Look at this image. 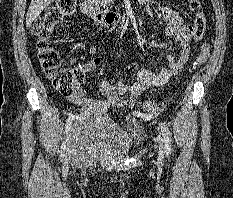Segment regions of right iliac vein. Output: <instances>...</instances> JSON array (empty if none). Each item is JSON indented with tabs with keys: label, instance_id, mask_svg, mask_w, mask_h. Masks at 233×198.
Returning <instances> with one entry per match:
<instances>
[{
	"label": "right iliac vein",
	"instance_id": "obj_1",
	"mask_svg": "<svg viewBox=\"0 0 233 198\" xmlns=\"http://www.w3.org/2000/svg\"><path fill=\"white\" fill-rule=\"evenodd\" d=\"M67 154H68L69 158L73 154V149H72V145H71V139L68 141Z\"/></svg>",
	"mask_w": 233,
	"mask_h": 198
}]
</instances>
